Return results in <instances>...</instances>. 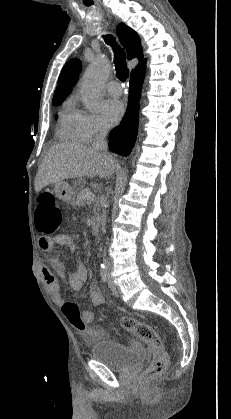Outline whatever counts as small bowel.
<instances>
[{
	"label": "small bowel",
	"mask_w": 231,
	"mask_h": 419,
	"mask_svg": "<svg viewBox=\"0 0 231 419\" xmlns=\"http://www.w3.org/2000/svg\"><path fill=\"white\" fill-rule=\"evenodd\" d=\"M40 249L44 252V261L46 262L42 266V274L47 283L49 292L53 301L61 306L64 304V299L61 294L59 285L60 279H65L74 292L79 291L85 284L88 277V270L85 264L79 263L76 269L71 272L68 276L66 275L65 269L61 262L57 259L48 255L56 246H68L71 250H75L76 246L73 239L68 234H57L52 238L40 237L38 240ZM90 300L94 306H100L104 303V296L96 284H92L90 289ZM85 322L91 324L95 320L93 312L85 310L82 312ZM102 332H96L94 338L102 336Z\"/></svg>",
	"instance_id": "1"
}]
</instances>
